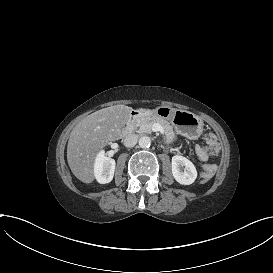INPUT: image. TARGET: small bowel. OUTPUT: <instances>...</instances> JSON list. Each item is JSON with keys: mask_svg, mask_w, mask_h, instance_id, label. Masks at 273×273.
I'll return each instance as SVG.
<instances>
[{"mask_svg": "<svg viewBox=\"0 0 273 273\" xmlns=\"http://www.w3.org/2000/svg\"><path fill=\"white\" fill-rule=\"evenodd\" d=\"M204 136H205L207 143L209 144L210 152L213 154L218 153L220 150V145H219V141L216 137L215 132L211 129H208L205 131ZM196 154L198 157H200L203 160L208 159L210 156L209 151L204 146L199 147L196 151Z\"/></svg>", "mask_w": 273, "mask_h": 273, "instance_id": "c3829d8e", "label": "small bowel"}]
</instances>
